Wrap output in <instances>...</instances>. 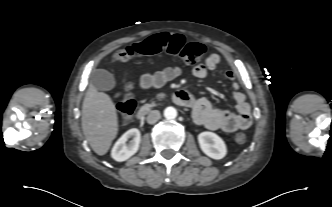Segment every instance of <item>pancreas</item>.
Instances as JSON below:
<instances>
[{
    "label": "pancreas",
    "instance_id": "obj_1",
    "mask_svg": "<svg viewBox=\"0 0 332 207\" xmlns=\"http://www.w3.org/2000/svg\"><path fill=\"white\" fill-rule=\"evenodd\" d=\"M164 95H165L164 93H160V94L157 95V98H162ZM154 105H155V104H153V106H154Z\"/></svg>",
    "mask_w": 332,
    "mask_h": 207
}]
</instances>
